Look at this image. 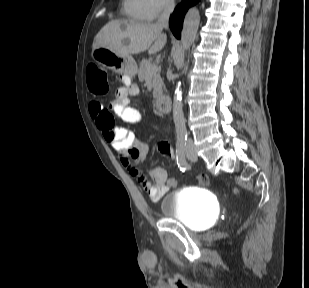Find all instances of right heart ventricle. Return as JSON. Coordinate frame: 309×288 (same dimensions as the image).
<instances>
[{"mask_svg":"<svg viewBox=\"0 0 309 288\" xmlns=\"http://www.w3.org/2000/svg\"><path fill=\"white\" fill-rule=\"evenodd\" d=\"M123 13L134 20L146 21L149 20V12L143 0H123Z\"/></svg>","mask_w":309,"mask_h":288,"instance_id":"right-heart-ventricle-1","label":"right heart ventricle"}]
</instances>
